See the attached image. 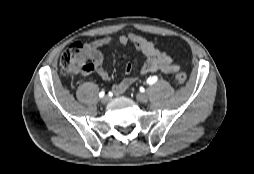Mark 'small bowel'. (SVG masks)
<instances>
[{"instance_id":"small-bowel-1","label":"small bowel","mask_w":254,"mask_h":174,"mask_svg":"<svg viewBox=\"0 0 254 174\" xmlns=\"http://www.w3.org/2000/svg\"><path fill=\"white\" fill-rule=\"evenodd\" d=\"M118 43L120 45L132 44L137 51L144 57V63L141 68V75L151 74L155 72H163L167 74L175 73L179 70V65L164 51H160L152 41L129 33L119 36L117 39L105 37L89 42L85 45L86 51L93 63V70L101 79L108 80L110 73L104 65V55L102 48ZM133 70L132 64L125 67L126 77L112 87V91L116 95H121L128 90L134 83L135 78L129 76Z\"/></svg>"}]
</instances>
